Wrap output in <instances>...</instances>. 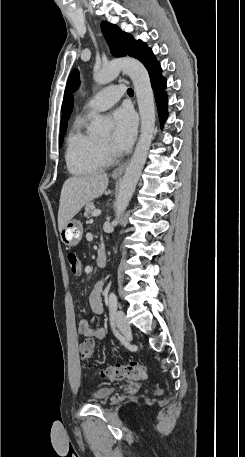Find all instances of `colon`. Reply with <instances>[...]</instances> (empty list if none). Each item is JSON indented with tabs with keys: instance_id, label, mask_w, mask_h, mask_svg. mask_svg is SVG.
Here are the masks:
<instances>
[{
	"instance_id": "obj_1",
	"label": "colon",
	"mask_w": 245,
	"mask_h": 457,
	"mask_svg": "<svg viewBox=\"0 0 245 457\" xmlns=\"http://www.w3.org/2000/svg\"><path fill=\"white\" fill-rule=\"evenodd\" d=\"M70 272L74 276H79L82 271V263L75 252H68L66 255ZM80 356L89 360L94 354V342L91 339L83 341L79 346ZM101 376L111 381L131 379L141 380L146 377V368L138 362H129L127 364H117L110 366L101 371Z\"/></svg>"
}]
</instances>
